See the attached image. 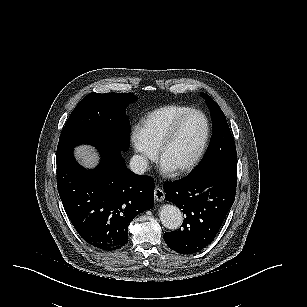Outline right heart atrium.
<instances>
[{"instance_id": "d8ad5b80", "label": "right heart atrium", "mask_w": 307, "mask_h": 307, "mask_svg": "<svg viewBox=\"0 0 307 307\" xmlns=\"http://www.w3.org/2000/svg\"><path fill=\"white\" fill-rule=\"evenodd\" d=\"M136 157L142 162H149L153 158L154 146L151 143V138L147 134H140L134 141Z\"/></svg>"}]
</instances>
